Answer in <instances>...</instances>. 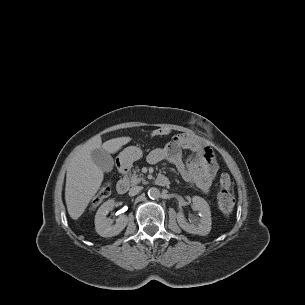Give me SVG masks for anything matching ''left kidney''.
<instances>
[{
	"label": "left kidney",
	"mask_w": 305,
	"mask_h": 305,
	"mask_svg": "<svg viewBox=\"0 0 305 305\" xmlns=\"http://www.w3.org/2000/svg\"><path fill=\"white\" fill-rule=\"evenodd\" d=\"M192 208L199 212L200 218L196 223H188L182 212L176 215L179 226L186 232L206 236L211 231L212 218L209 204L202 197L194 196L192 198Z\"/></svg>",
	"instance_id": "1"
}]
</instances>
